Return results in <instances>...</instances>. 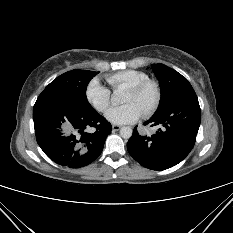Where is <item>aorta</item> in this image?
<instances>
[{
  "label": "aorta",
  "mask_w": 233,
  "mask_h": 233,
  "mask_svg": "<svg viewBox=\"0 0 233 233\" xmlns=\"http://www.w3.org/2000/svg\"><path fill=\"white\" fill-rule=\"evenodd\" d=\"M112 98L118 100L117 96H113ZM120 136L124 139H129L132 136V129L128 126L122 127L120 129Z\"/></svg>",
  "instance_id": "1"
}]
</instances>
